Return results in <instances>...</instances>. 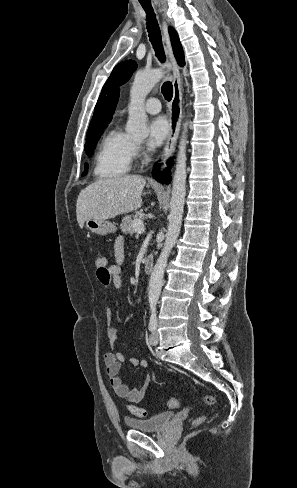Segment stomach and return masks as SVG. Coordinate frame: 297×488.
Returning a JSON list of instances; mask_svg holds the SVG:
<instances>
[{
    "instance_id": "obj_1",
    "label": "stomach",
    "mask_w": 297,
    "mask_h": 488,
    "mask_svg": "<svg viewBox=\"0 0 297 488\" xmlns=\"http://www.w3.org/2000/svg\"><path fill=\"white\" fill-rule=\"evenodd\" d=\"M86 228L89 229L92 233L99 235H107L110 233H114L117 230L115 224L100 219H87Z\"/></svg>"
}]
</instances>
